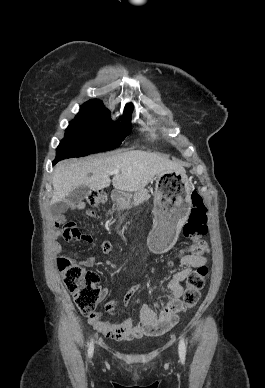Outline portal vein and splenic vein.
Here are the masks:
<instances>
[{"mask_svg": "<svg viewBox=\"0 0 265 388\" xmlns=\"http://www.w3.org/2000/svg\"><path fill=\"white\" fill-rule=\"evenodd\" d=\"M120 170H113V172H109L108 176H113V174H115V176H118Z\"/></svg>", "mask_w": 265, "mask_h": 388, "instance_id": "18ae733b", "label": "portal vein and splenic vein"}]
</instances>
